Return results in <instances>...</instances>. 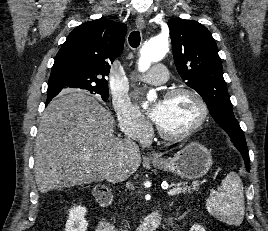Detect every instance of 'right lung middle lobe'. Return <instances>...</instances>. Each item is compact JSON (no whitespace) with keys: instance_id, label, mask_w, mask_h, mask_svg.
<instances>
[{"instance_id":"1","label":"right lung middle lobe","mask_w":268,"mask_h":231,"mask_svg":"<svg viewBox=\"0 0 268 231\" xmlns=\"http://www.w3.org/2000/svg\"><path fill=\"white\" fill-rule=\"evenodd\" d=\"M62 89L61 88H52V89H48V93L47 94H51V93H59ZM88 91H90L91 93H95V94H99L101 95L102 99L104 101H106L108 99L109 96V91L108 88H104V89H89Z\"/></svg>"}]
</instances>
